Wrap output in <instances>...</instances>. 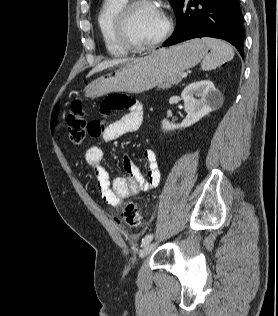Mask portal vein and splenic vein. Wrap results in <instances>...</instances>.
Here are the masks:
<instances>
[{"instance_id":"18ae733b","label":"portal vein and splenic vein","mask_w":278,"mask_h":316,"mask_svg":"<svg viewBox=\"0 0 278 316\" xmlns=\"http://www.w3.org/2000/svg\"><path fill=\"white\" fill-rule=\"evenodd\" d=\"M187 76H188V74H187L186 72H184V73L181 74V77H182V78H186Z\"/></svg>"}]
</instances>
